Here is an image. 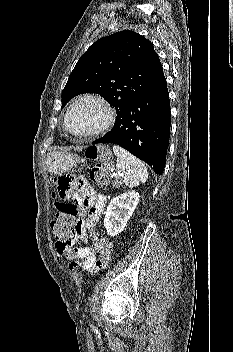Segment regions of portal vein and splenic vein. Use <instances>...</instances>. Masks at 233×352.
Segmentation results:
<instances>
[{
  "instance_id": "1",
  "label": "portal vein and splenic vein",
  "mask_w": 233,
  "mask_h": 352,
  "mask_svg": "<svg viewBox=\"0 0 233 352\" xmlns=\"http://www.w3.org/2000/svg\"><path fill=\"white\" fill-rule=\"evenodd\" d=\"M117 176H118L117 173H115V172L112 173V177H113V178H116Z\"/></svg>"
}]
</instances>
